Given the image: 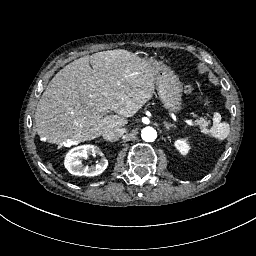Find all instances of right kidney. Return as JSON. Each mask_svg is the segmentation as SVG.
<instances>
[{"mask_svg": "<svg viewBox=\"0 0 256 256\" xmlns=\"http://www.w3.org/2000/svg\"><path fill=\"white\" fill-rule=\"evenodd\" d=\"M98 147L94 145H81L72 148L65 157V168L73 175L96 176L101 174L108 166V160L102 156L101 160L93 166H84L82 159L88 155L100 154Z\"/></svg>", "mask_w": 256, "mask_h": 256, "instance_id": "obj_1", "label": "right kidney"}]
</instances>
